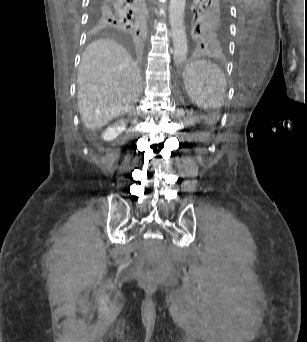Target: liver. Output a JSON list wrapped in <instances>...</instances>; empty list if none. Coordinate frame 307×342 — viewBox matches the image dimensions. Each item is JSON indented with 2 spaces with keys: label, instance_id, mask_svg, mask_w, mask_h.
Masks as SVG:
<instances>
[{
  "label": "liver",
  "instance_id": "obj_1",
  "mask_svg": "<svg viewBox=\"0 0 307 342\" xmlns=\"http://www.w3.org/2000/svg\"><path fill=\"white\" fill-rule=\"evenodd\" d=\"M78 108L88 130L98 132L138 102L142 78L127 50L113 40L87 46L78 74Z\"/></svg>",
  "mask_w": 307,
  "mask_h": 342
}]
</instances>
